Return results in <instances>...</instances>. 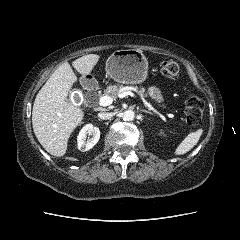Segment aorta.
Returning <instances> with one entry per match:
<instances>
[{"label": "aorta", "instance_id": "1", "mask_svg": "<svg viewBox=\"0 0 240 240\" xmlns=\"http://www.w3.org/2000/svg\"><path fill=\"white\" fill-rule=\"evenodd\" d=\"M122 118L124 121H132L135 118V113L132 110H127L123 113Z\"/></svg>", "mask_w": 240, "mask_h": 240}]
</instances>
